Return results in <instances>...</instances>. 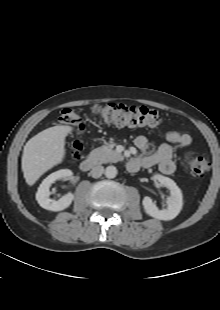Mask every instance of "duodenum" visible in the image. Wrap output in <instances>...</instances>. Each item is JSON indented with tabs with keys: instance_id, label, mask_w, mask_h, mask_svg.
I'll return each instance as SVG.
<instances>
[{
	"instance_id": "duodenum-1",
	"label": "duodenum",
	"mask_w": 220,
	"mask_h": 310,
	"mask_svg": "<svg viewBox=\"0 0 220 310\" xmlns=\"http://www.w3.org/2000/svg\"><path fill=\"white\" fill-rule=\"evenodd\" d=\"M95 164H96L95 159L86 158V159H83L79 163V167H80L82 172H90L93 169V167L95 166ZM139 166H140V161L138 159H130L127 162V167L131 171L138 170Z\"/></svg>"
}]
</instances>
